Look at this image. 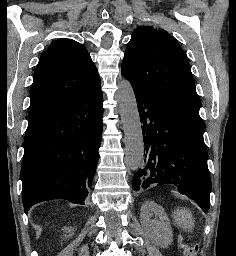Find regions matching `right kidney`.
Returning <instances> with one entry per match:
<instances>
[{
    "instance_id": "right-kidney-1",
    "label": "right kidney",
    "mask_w": 236,
    "mask_h": 256,
    "mask_svg": "<svg viewBox=\"0 0 236 256\" xmlns=\"http://www.w3.org/2000/svg\"><path fill=\"white\" fill-rule=\"evenodd\" d=\"M64 230H68V232H69V234H71V236H72V234L74 232V230H70V228H64Z\"/></svg>"
}]
</instances>
